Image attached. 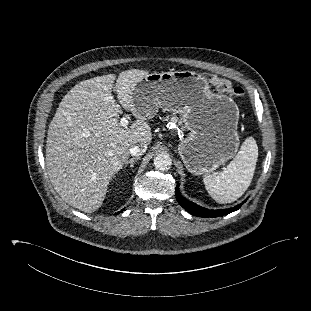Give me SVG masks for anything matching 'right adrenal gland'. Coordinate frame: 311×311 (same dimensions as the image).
<instances>
[{
    "instance_id": "1",
    "label": "right adrenal gland",
    "mask_w": 311,
    "mask_h": 311,
    "mask_svg": "<svg viewBox=\"0 0 311 311\" xmlns=\"http://www.w3.org/2000/svg\"><path fill=\"white\" fill-rule=\"evenodd\" d=\"M140 157L131 158L129 161H127L124 165V168H126L128 165H130V168L134 167V162L139 160Z\"/></svg>"
}]
</instances>
